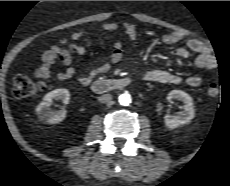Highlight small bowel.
I'll list each match as a JSON object with an SVG mask.
<instances>
[{
    "instance_id": "c3829d8e",
    "label": "small bowel",
    "mask_w": 230,
    "mask_h": 186,
    "mask_svg": "<svg viewBox=\"0 0 230 186\" xmlns=\"http://www.w3.org/2000/svg\"><path fill=\"white\" fill-rule=\"evenodd\" d=\"M98 29L102 32L110 33L117 32L119 26L116 23H103L98 26ZM125 35L130 41H134L137 37V30L133 24L126 23L122 27ZM87 30H80L73 32L71 38L77 40L86 34ZM182 40H185V46L177 48L171 52V56L178 60H184L191 57L193 54L196 56L194 64L201 69L213 70L217 67V60L211 53L209 48L202 42L189 38L182 32H169L162 36V42L164 44H176ZM62 50L60 47L53 45L46 50L42 57V65L35 70V75L40 79H45L50 74V67L55 63ZM77 52L80 55H86L87 50L84 47H78ZM123 58V49L120 43H115L111 48V53L108 61L94 67L88 74H80L76 68L68 66L65 70L59 72L56 75L58 80L74 79L82 85H89L92 80L101 74L106 73L113 64L120 62ZM65 63L70 64V61L66 58ZM142 80L147 82H159V83H181L185 81L191 87L200 86L202 79L199 76L192 75L184 78L180 74L172 73L162 68L149 69L142 75Z\"/></svg>"
}]
</instances>
